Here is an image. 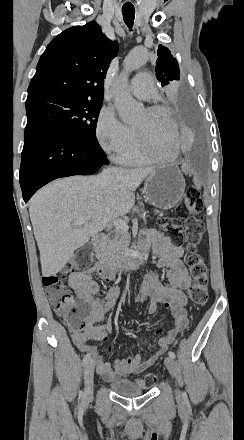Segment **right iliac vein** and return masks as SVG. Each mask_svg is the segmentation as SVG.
Segmentation results:
<instances>
[{"label": "right iliac vein", "mask_w": 244, "mask_h": 440, "mask_svg": "<svg viewBox=\"0 0 244 440\" xmlns=\"http://www.w3.org/2000/svg\"><path fill=\"white\" fill-rule=\"evenodd\" d=\"M95 361H89L84 368V402H88L93 396V378Z\"/></svg>", "instance_id": "1"}]
</instances>
